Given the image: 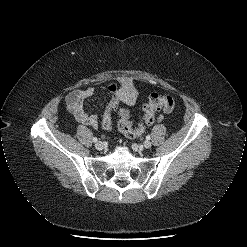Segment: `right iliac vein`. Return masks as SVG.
<instances>
[{"instance_id": "63e3f726", "label": "right iliac vein", "mask_w": 247, "mask_h": 247, "mask_svg": "<svg viewBox=\"0 0 247 247\" xmlns=\"http://www.w3.org/2000/svg\"><path fill=\"white\" fill-rule=\"evenodd\" d=\"M96 149L102 150L104 148V143L99 141L95 144Z\"/></svg>"}]
</instances>
